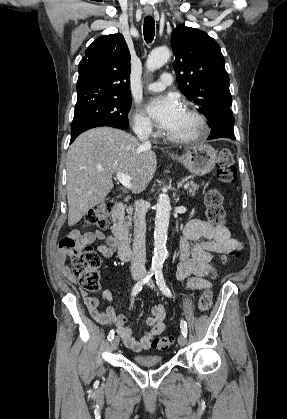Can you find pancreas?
Wrapping results in <instances>:
<instances>
[{"label": "pancreas", "instance_id": "cf45deb5", "mask_svg": "<svg viewBox=\"0 0 287 419\" xmlns=\"http://www.w3.org/2000/svg\"><path fill=\"white\" fill-rule=\"evenodd\" d=\"M198 187L199 186L197 184L191 183L190 188H189V193H190L191 196H195V193L197 192ZM127 213H128V216L126 217V223L125 224H126L127 227H130L131 223H132V208L131 207H129L127 209Z\"/></svg>", "mask_w": 287, "mask_h": 419}]
</instances>
